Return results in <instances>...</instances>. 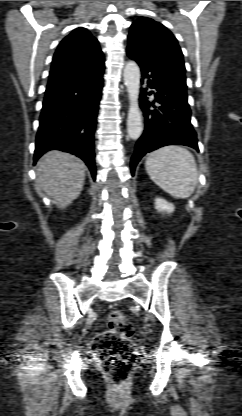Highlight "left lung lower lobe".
<instances>
[{
	"instance_id": "left-lung-lower-lobe-1",
	"label": "left lung lower lobe",
	"mask_w": 242,
	"mask_h": 416,
	"mask_svg": "<svg viewBox=\"0 0 242 416\" xmlns=\"http://www.w3.org/2000/svg\"><path fill=\"white\" fill-rule=\"evenodd\" d=\"M127 55L135 60L142 72L141 82L154 91L141 89L140 107L145 117V129L136 143L131 158V173L140 159L153 150L166 145H185L198 151L197 134L191 124V111L187 92L167 79L165 71L158 68L146 55L128 46ZM154 95L150 101L146 95Z\"/></svg>"
}]
</instances>
